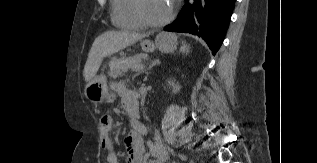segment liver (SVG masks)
Listing matches in <instances>:
<instances>
[{"label": "liver", "mask_w": 317, "mask_h": 163, "mask_svg": "<svg viewBox=\"0 0 317 163\" xmlns=\"http://www.w3.org/2000/svg\"><path fill=\"white\" fill-rule=\"evenodd\" d=\"M144 37V34L128 31H107L98 36L92 44L84 67L85 81L90 82L96 76L103 58L133 45Z\"/></svg>", "instance_id": "6515ba94"}]
</instances>
